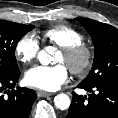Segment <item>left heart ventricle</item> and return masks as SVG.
Listing matches in <instances>:
<instances>
[{
	"label": "left heart ventricle",
	"instance_id": "left-heart-ventricle-1",
	"mask_svg": "<svg viewBox=\"0 0 118 118\" xmlns=\"http://www.w3.org/2000/svg\"><path fill=\"white\" fill-rule=\"evenodd\" d=\"M56 62L58 63H63L65 64L66 66H68V61L66 60L65 56L63 55L62 52H60L57 56V59H56Z\"/></svg>",
	"mask_w": 118,
	"mask_h": 118
}]
</instances>
